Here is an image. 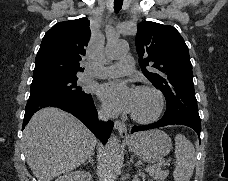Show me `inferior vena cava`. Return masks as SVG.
<instances>
[{
  "label": "inferior vena cava",
  "mask_w": 228,
  "mask_h": 181,
  "mask_svg": "<svg viewBox=\"0 0 228 181\" xmlns=\"http://www.w3.org/2000/svg\"><path fill=\"white\" fill-rule=\"evenodd\" d=\"M98 117L101 119V121H108V119H110V115L105 113V111H98Z\"/></svg>",
  "instance_id": "1"
}]
</instances>
